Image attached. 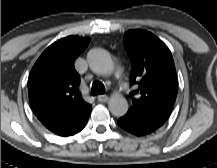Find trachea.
I'll return each mask as SVG.
<instances>
[{"mask_svg":"<svg viewBox=\"0 0 217 168\" xmlns=\"http://www.w3.org/2000/svg\"><path fill=\"white\" fill-rule=\"evenodd\" d=\"M105 93V86L102 82L94 81L91 88L92 95H99Z\"/></svg>","mask_w":217,"mask_h":168,"instance_id":"trachea-1","label":"trachea"}]
</instances>
